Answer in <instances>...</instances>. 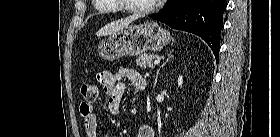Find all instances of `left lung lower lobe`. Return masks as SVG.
<instances>
[{
	"mask_svg": "<svg viewBox=\"0 0 280 137\" xmlns=\"http://www.w3.org/2000/svg\"><path fill=\"white\" fill-rule=\"evenodd\" d=\"M226 6V0H168L159 13L150 17L171 28L200 36L210 46L218 61Z\"/></svg>",
	"mask_w": 280,
	"mask_h": 137,
	"instance_id": "left-lung-lower-lobe-1",
	"label": "left lung lower lobe"
}]
</instances>
